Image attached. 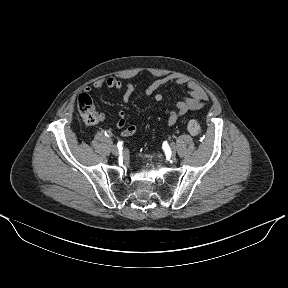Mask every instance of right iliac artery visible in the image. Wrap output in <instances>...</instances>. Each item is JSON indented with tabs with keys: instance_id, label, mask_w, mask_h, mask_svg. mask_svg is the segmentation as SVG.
Returning <instances> with one entry per match:
<instances>
[{
	"instance_id": "obj_1",
	"label": "right iliac artery",
	"mask_w": 288,
	"mask_h": 288,
	"mask_svg": "<svg viewBox=\"0 0 288 288\" xmlns=\"http://www.w3.org/2000/svg\"><path fill=\"white\" fill-rule=\"evenodd\" d=\"M105 135L110 137V136H112V133L110 131H105Z\"/></svg>"
}]
</instances>
